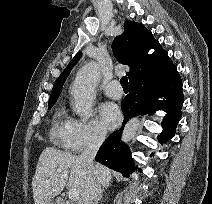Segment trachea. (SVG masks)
<instances>
[{"mask_svg":"<svg viewBox=\"0 0 212 204\" xmlns=\"http://www.w3.org/2000/svg\"><path fill=\"white\" fill-rule=\"evenodd\" d=\"M121 86L124 90H128V78L127 76H123L120 80Z\"/></svg>","mask_w":212,"mask_h":204,"instance_id":"trachea-1","label":"trachea"}]
</instances>
